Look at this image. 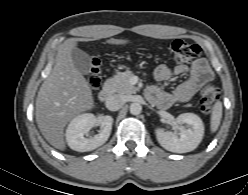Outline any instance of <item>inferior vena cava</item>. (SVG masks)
Wrapping results in <instances>:
<instances>
[{"instance_id":"inferior-vena-cava-1","label":"inferior vena cava","mask_w":248,"mask_h":195,"mask_svg":"<svg viewBox=\"0 0 248 195\" xmlns=\"http://www.w3.org/2000/svg\"><path fill=\"white\" fill-rule=\"evenodd\" d=\"M124 102H125L124 97L122 95L115 94V95L110 96L106 100L105 104L108 110L117 111L124 105Z\"/></svg>"}]
</instances>
